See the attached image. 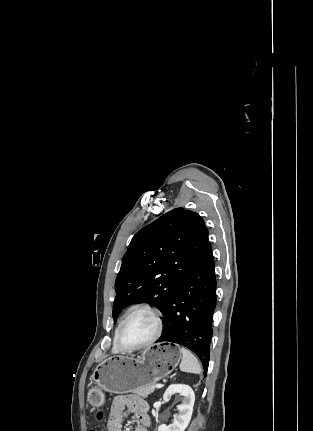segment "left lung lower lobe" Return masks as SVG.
I'll use <instances>...</instances> for the list:
<instances>
[{"mask_svg":"<svg viewBox=\"0 0 313 431\" xmlns=\"http://www.w3.org/2000/svg\"><path fill=\"white\" fill-rule=\"evenodd\" d=\"M215 307L216 277L212 248L208 243L189 275L170 298L163 312L164 330L157 340L177 343L192 350L202 362L205 376Z\"/></svg>","mask_w":313,"mask_h":431,"instance_id":"obj_1","label":"left lung lower lobe"}]
</instances>
